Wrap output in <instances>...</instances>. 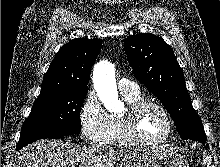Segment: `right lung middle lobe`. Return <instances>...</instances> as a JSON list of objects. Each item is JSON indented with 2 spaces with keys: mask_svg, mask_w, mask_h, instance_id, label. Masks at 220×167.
Listing matches in <instances>:
<instances>
[{
  "mask_svg": "<svg viewBox=\"0 0 220 167\" xmlns=\"http://www.w3.org/2000/svg\"><path fill=\"white\" fill-rule=\"evenodd\" d=\"M86 89H69L37 99L23 124L16 150L43 138H61L79 133L80 110Z\"/></svg>",
  "mask_w": 220,
  "mask_h": 167,
  "instance_id": "dd1d6c3e",
  "label": "right lung middle lobe"
}]
</instances>
